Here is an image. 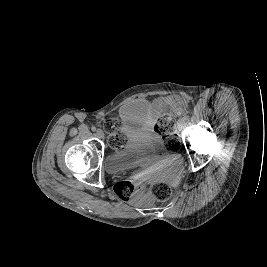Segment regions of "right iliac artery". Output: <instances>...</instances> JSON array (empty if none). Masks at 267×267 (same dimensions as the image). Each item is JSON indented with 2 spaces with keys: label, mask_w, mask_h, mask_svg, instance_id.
<instances>
[{
  "label": "right iliac artery",
  "mask_w": 267,
  "mask_h": 267,
  "mask_svg": "<svg viewBox=\"0 0 267 267\" xmlns=\"http://www.w3.org/2000/svg\"><path fill=\"white\" fill-rule=\"evenodd\" d=\"M91 130L92 131H96V127L95 126H92Z\"/></svg>",
  "instance_id": "82829eb1"
}]
</instances>
